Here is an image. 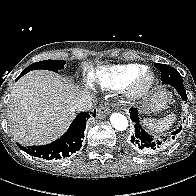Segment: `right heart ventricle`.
Segmentation results:
<instances>
[{"label": "right heart ventricle", "mask_w": 196, "mask_h": 196, "mask_svg": "<svg viewBox=\"0 0 196 196\" xmlns=\"http://www.w3.org/2000/svg\"><path fill=\"white\" fill-rule=\"evenodd\" d=\"M143 69L141 64L100 66L88 74L90 82L102 89L119 90L124 88Z\"/></svg>", "instance_id": "e07e8e85"}]
</instances>
